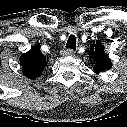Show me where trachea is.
Returning a JSON list of instances; mask_svg holds the SVG:
<instances>
[{
  "label": "trachea",
  "mask_w": 127,
  "mask_h": 127,
  "mask_svg": "<svg viewBox=\"0 0 127 127\" xmlns=\"http://www.w3.org/2000/svg\"><path fill=\"white\" fill-rule=\"evenodd\" d=\"M66 48H69L72 50L76 49V37L74 35L69 36L66 43Z\"/></svg>",
  "instance_id": "obj_1"
}]
</instances>
